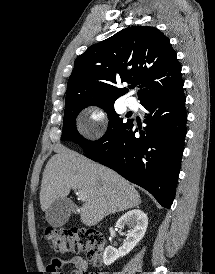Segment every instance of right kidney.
<instances>
[{
	"instance_id": "1",
	"label": "right kidney",
	"mask_w": 215,
	"mask_h": 274,
	"mask_svg": "<svg viewBox=\"0 0 215 274\" xmlns=\"http://www.w3.org/2000/svg\"><path fill=\"white\" fill-rule=\"evenodd\" d=\"M125 225L129 227L126 240L119 249L113 246L106 247L103 254L105 265H111L118 258L127 255L139 243L145 235L148 217L139 209L128 211L116 222V227L119 229H122Z\"/></svg>"
}]
</instances>
